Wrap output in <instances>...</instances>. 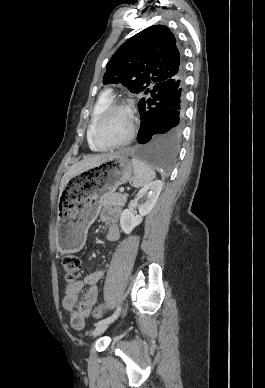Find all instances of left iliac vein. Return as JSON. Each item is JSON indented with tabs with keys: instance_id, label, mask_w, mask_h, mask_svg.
I'll use <instances>...</instances> for the list:
<instances>
[{
	"instance_id": "obj_1",
	"label": "left iliac vein",
	"mask_w": 265,
	"mask_h": 388,
	"mask_svg": "<svg viewBox=\"0 0 265 388\" xmlns=\"http://www.w3.org/2000/svg\"><path fill=\"white\" fill-rule=\"evenodd\" d=\"M111 323L112 322L97 325L92 332V336L96 337V336L100 335L101 333H103L109 327V325Z\"/></svg>"
}]
</instances>
